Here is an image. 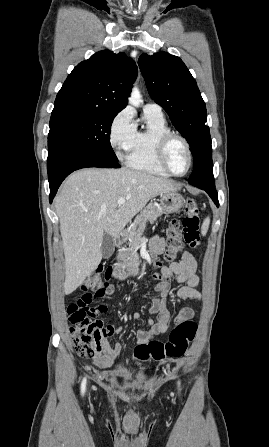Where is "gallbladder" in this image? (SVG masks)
<instances>
[{
  "label": "gallbladder",
  "mask_w": 269,
  "mask_h": 447,
  "mask_svg": "<svg viewBox=\"0 0 269 447\" xmlns=\"http://www.w3.org/2000/svg\"><path fill=\"white\" fill-rule=\"evenodd\" d=\"M114 239L109 233H104L101 243L102 257H110L114 251Z\"/></svg>",
  "instance_id": "1"
}]
</instances>
